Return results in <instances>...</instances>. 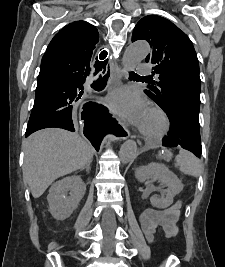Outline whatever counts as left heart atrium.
<instances>
[{
  "label": "left heart atrium",
  "mask_w": 225,
  "mask_h": 267,
  "mask_svg": "<svg viewBox=\"0 0 225 267\" xmlns=\"http://www.w3.org/2000/svg\"><path fill=\"white\" fill-rule=\"evenodd\" d=\"M107 102L120 117L141 128L148 109L140 93L128 87H120L110 92Z\"/></svg>",
  "instance_id": "39dd6f15"
}]
</instances>
